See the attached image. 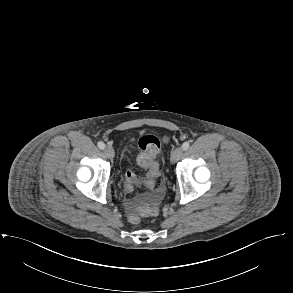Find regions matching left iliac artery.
Instances as JSON below:
<instances>
[{"label": "left iliac artery", "mask_w": 293, "mask_h": 293, "mask_svg": "<svg viewBox=\"0 0 293 293\" xmlns=\"http://www.w3.org/2000/svg\"><path fill=\"white\" fill-rule=\"evenodd\" d=\"M189 146H190V143L188 141H186L182 144V149L187 150L189 148Z\"/></svg>", "instance_id": "1"}]
</instances>
